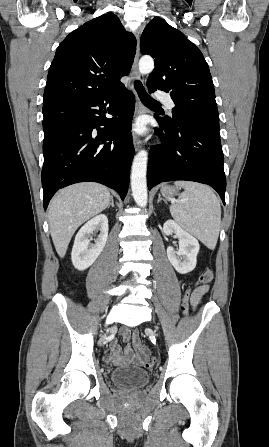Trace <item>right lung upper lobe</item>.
Instances as JSON below:
<instances>
[{
  "label": "right lung upper lobe",
  "mask_w": 269,
  "mask_h": 447,
  "mask_svg": "<svg viewBox=\"0 0 269 447\" xmlns=\"http://www.w3.org/2000/svg\"><path fill=\"white\" fill-rule=\"evenodd\" d=\"M135 52V37L113 13L85 23L58 46L43 101L89 96L121 86Z\"/></svg>",
  "instance_id": "1"
}]
</instances>
